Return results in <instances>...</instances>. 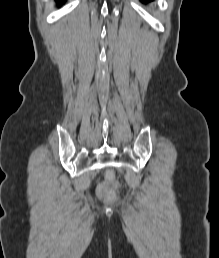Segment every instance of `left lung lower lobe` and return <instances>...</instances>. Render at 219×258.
Returning a JSON list of instances; mask_svg holds the SVG:
<instances>
[{"label":"left lung lower lobe","instance_id":"obj_1","mask_svg":"<svg viewBox=\"0 0 219 258\" xmlns=\"http://www.w3.org/2000/svg\"><path fill=\"white\" fill-rule=\"evenodd\" d=\"M142 1L148 2V1H151V0H142Z\"/></svg>","mask_w":219,"mask_h":258}]
</instances>
